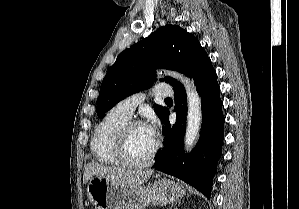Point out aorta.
Instances as JSON below:
<instances>
[{
    "mask_svg": "<svg viewBox=\"0 0 299 209\" xmlns=\"http://www.w3.org/2000/svg\"><path fill=\"white\" fill-rule=\"evenodd\" d=\"M166 74L177 78L186 89L188 112L184 143L185 150L188 152L196 142L202 123L201 98L194 84L186 76L176 72H167Z\"/></svg>",
    "mask_w": 299,
    "mask_h": 209,
    "instance_id": "762f6f07",
    "label": "aorta"
}]
</instances>
